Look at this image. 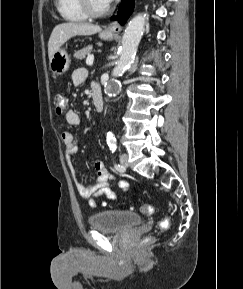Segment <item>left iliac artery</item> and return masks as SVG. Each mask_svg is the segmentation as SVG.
I'll return each mask as SVG.
<instances>
[{"label": "left iliac artery", "mask_w": 243, "mask_h": 289, "mask_svg": "<svg viewBox=\"0 0 243 289\" xmlns=\"http://www.w3.org/2000/svg\"><path fill=\"white\" fill-rule=\"evenodd\" d=\"M114 167H115V169L116 170H118V171H120V172H122V171H124V167L122 166V165H119V164H114Z\"/></svg>", "instance_id": "left-iliac-artery-1"}]
</instances>
